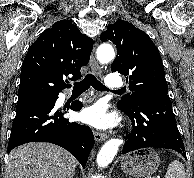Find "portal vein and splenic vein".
<instances>
[{"mask_svg":"<svg viewBox=\"0 0 194 178\" xmlns=\"http://www.w3.org/2000/svg\"><path fill=\"white\" fill-rule=\"evenodd\" d=\"M153 178H160V176H156V177H153Z\"/></svg>","mask_w":194,"mask_h":178,"instance_id":"portal-vein-and-splenic-vein-1","label":"portal vein and splenic vein"}]
</instances>
